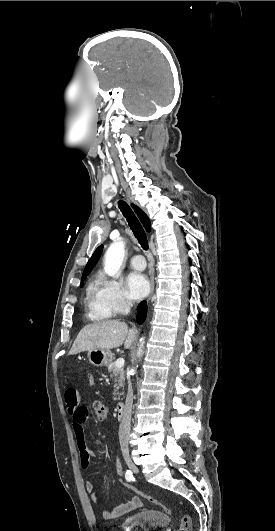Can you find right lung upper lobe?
Instances as JSON below:
<instances>
[{
    "label": "right lung upper lobe",
    "mask_w": 275,
    "mask_h": 531,
    "mask_svg": "<svg viewBox=\"0 0 275 531\" xmlns=\"http://www.w3.org/2000/svg\"><path fill=\"white\" fill-rule=\"evenodd\" d=\"M134 211L136 212L137 216L139 217L140 221L143 223V226L145 227L146 231H150L151 227H150V221H149V218L148 216L139 208L137 207L136 205H132ZM102 248L103 246H99L95 252L93 253L92 257L90 258V260L88 261L85 269H84V273L82 275V281H84V279L86 278V276L88 275V273L92 270V268L95 266V264L97 263L98 259H99V256L102 252Z\"/></svg>",
    "instance_id": "1"
}]
</instances>
